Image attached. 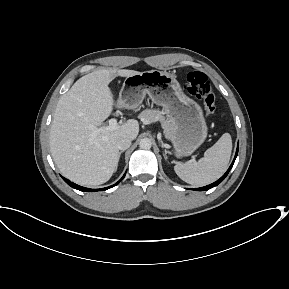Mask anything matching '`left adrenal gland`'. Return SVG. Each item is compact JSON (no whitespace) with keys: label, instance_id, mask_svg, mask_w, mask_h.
<instances>
[{"label":"left adrenal gland","instance_id":"1","mask_svg":"<svg viewBox=\"0 0 289 289\" xmlns=\"http://www.w3.org/2000/svg\"><path fill=\"white\" fill-rule=\"evenodd\" d=\"M163 152H164V158H165V160H167V156H166L167 152H166V150H164Z\"/></svg>","mask_w":289,"mask_h":289}]
</instances>
